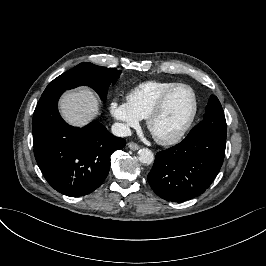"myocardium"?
Segmentation results:
<instances>
[{"instance_id": "f54148a6", "label": "myocardium", "mask_w": 266, "mask_h": 266, "mask_svg": "<svg viewBox=\"0 0 266 266\" xmlns=\"http://www.w3.org/2000/svg\"><path fill=\"white\" fill-rule=\"evenodd\" d=\"M179 87H186L192 92L193 97H194L193 113H192L189 121L187 122V124L176 135H174L172 137H167V138L156 136L155 134H153L152 129H151L152 121L155 119V117H157L162 112V110L164 109V106H165L168 98L170 97V95ZM198 113H199V98H198L196 90L190 84L180 82V83H177L176 85H174L173 87L167 89L160 96V98L155 103V105L152 107V109L149 111V113L146 117V125L158 143L164 144V145L176 144L192 128V126H193V124L197 118Z\"/></svg>"}]
</instances>
